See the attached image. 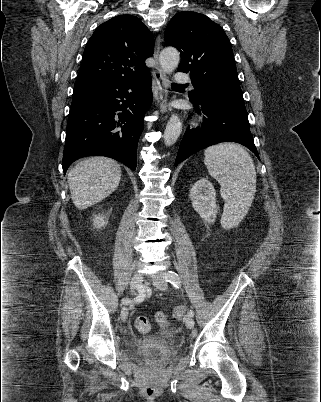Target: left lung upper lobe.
Here are the masks:
<instances>
[{
    "instance_id": "1",
    "label": "left lung upper lobe",
    "mask_w": 321,
    "mask_h": 402,
    "mask_svg": "<svg viewBox=\"0 0 321 402\" xmlns=\"http://www.w3.org/2000/svg\"><path fill=\"white\" fill-rule=\"evenodd\" d=\"M168 46L181 53L178 72H189L196 100L202 91L214 87L240 88L231 43L220 25L205 15L177 13L164 33Z\"/></svg>"
}]
</instances>
